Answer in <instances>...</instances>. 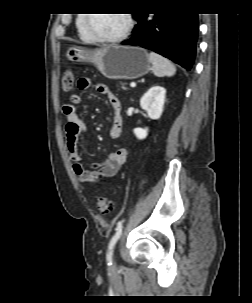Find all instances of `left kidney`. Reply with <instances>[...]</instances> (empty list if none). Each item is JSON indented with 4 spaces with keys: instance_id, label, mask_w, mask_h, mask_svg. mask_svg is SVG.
I'll return each instance as SVG.
<instances>
[{
    "instance_id": "5707ae66",
    "label": "left kidney",
    "mask_w": 252,
    "mask_h": 303,
    "mask_svg": "<svg viewBox=\"0 0 252 303\" xmlns=\"http://www.w3.org/2000/svg\"><path fill=\"white\" fill-rule=\"evenodd\" d=\"M165 95V88L155 85L142 96L140 106L147 112L150 119L157 120L160 118L165 103ZM133 132L139 140H143L148 135V128H135Z\"/></svg>"
}]
</instances>
